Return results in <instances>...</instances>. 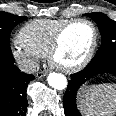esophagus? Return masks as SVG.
Here are the masks:
<instances>
[{"label":"esophagus","mask_w":116,"mask_h":116,"mask_svg":"<svg viewBox=\"0 0 116 116\" xmlns=\"http://www.w3.org/2000/svg\"><path fill=\"white\" fill-rule=\"evenodd\" d=\"M47 73H48L47 71H40V72H38V73L36 74V78H37V79H40V78L46 76Z\"/></svg>","instance_id":"esophagus-1"}]
</instances>
